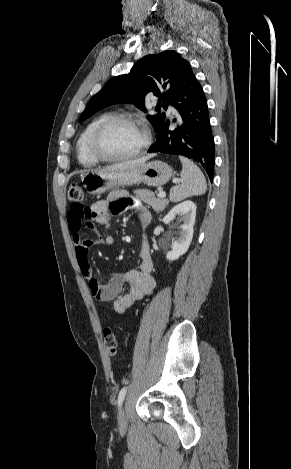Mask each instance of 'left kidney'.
Returning <instances> with one entry per match:
<instances>
[{"label": "left kidney", "instance_id": "1", "mask_svg": "<svg viewBox=\"0 0 291 469\" xmlns=\"http://www.w3.org/2000/svg\"><path fill=\"white\" fill-rule=\"evenodd\" d=\"M176 217L183 224L180 226V231L173 238L172 250L166 254V258L170 261L177 260L185 254L191 244L196 217V205L194 202L187 200L176 205L163 218V222L169 224Z\"/></svg>", "mask_w": 291, "mask_h": 469}]
</instances>
